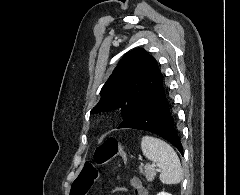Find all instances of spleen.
I'll use <instances>...</instances> for the list:
<instances>
[{
    "label": "spleen",
    "mask_w": 240,
    "mask_h": 195,
    "mask_svg": "<svg viewBox=\"0 0 240 195\" xmlns=\"http://www.w3.org/2000/svg\"><path fill=\"white\" fill-rule=\"evenodd\" d=\"M143 155L155 161L160 169L162 183H179L183 179V169L180 159L173 147L151 135H144L141 141Z\"/></svg>",
    "instance_id": "obj_1"
}]
</instances>
